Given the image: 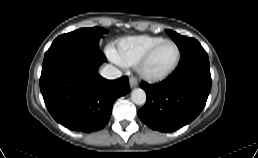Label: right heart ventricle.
<instances>
[{
	"label": "right heart ventricle",
	"mask_w": 258,
	"mask_h": 158,
	"mask_svg": "<svg viewBox=\"0 0 258 158\" xmlns=\"http://www.w3.org/2000/svg\"><path fill=\"white\" fill-rule=\"evenodd\" d=\"M161 37L138 36L121 40L114 51L115 57L122 65L134 66L158 42Z\"/></svg>",
	"instance_id": "1"
}]
</instances>
